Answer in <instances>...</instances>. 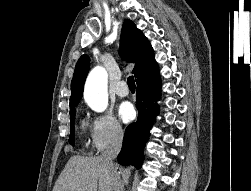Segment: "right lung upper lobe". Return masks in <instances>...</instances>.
Instances as JSON below:
<instances>
[{
  "mask_svg": "<svg viewBox=\"0 0 251 191\" xmlns=\"http://www.w3.org/2000/svg\"><path fill=\"white\" fill-rule=\"evenodd\" d=\"M120 55L127 62L135 63L133 73L137 84L146 82L159 75L158 64L155 61L154 52L149 41L130 20H125L122 26ZM89 68L88 56L82 55L76 64L71 81L70 106L78 105L82 98Z\"/></svg>",
  "mask_w": 251,
  "mask_h": 191,
  "instance_id": "cb5924a9",
  "label": "right lung upper lobe"
}]
</instances>
